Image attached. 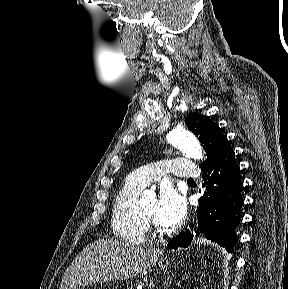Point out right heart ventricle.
<instances>
[{
    "label": "right heart ventricle",
    "instance_id": "obj_1",
    "mask_svg": "<svg viewBox=\"0 0 288 289\" xmlns=\"http://www.w3.org/2000/svg\"><path fill=\"white\" fill-rule=\"evenodd\" d=\"M142 190L126 180L113 198L112 232L119 240L131 245L143 244L148 232L138 213V196Z\"/></svg>",
    "mask_w": 288,
    "mask_h": 289
}]
</instances>
